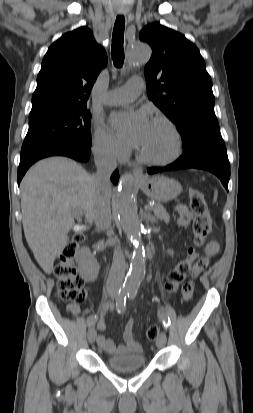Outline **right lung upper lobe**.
I'll list each match as a JSON object with an SVG mask.
<instances>
[{
	"mask_svg": "<svg viewBox=\"0 0 253 413\" xmlns=\"http://www.w3.org/2000/svg\"><path fill=\"white\" fill-rule=\"evenodd\" d=\"M106 64V52L89 28L83 26L64 34L43 58L31 112L87 105L91 88Z\"/></svg>",
	"mask_w": 253,
	"mask_h": 413,
	"instance_id": "1",
	"label": "right lung upper lobe"
}]
</instances>
